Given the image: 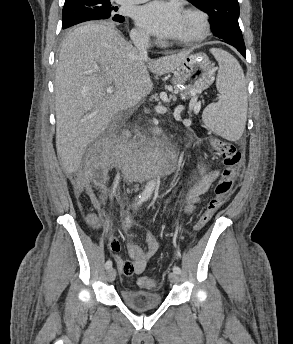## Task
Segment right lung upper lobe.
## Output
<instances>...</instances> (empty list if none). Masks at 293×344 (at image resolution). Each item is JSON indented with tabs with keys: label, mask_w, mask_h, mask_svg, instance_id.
<instances>
[{
	"label": "right lung upper lobe",
	"mask_w": 293,
	"mask_h": 344,
	"mask_svg": "<svg viewBox=\"0 0 293 344\" xmlns=\"http://www.w3.org/2000/svg\"><path fill=\"white\" fill-rule=\"evenodd\" d=\"M75 1H78V0H65V3H71V2H75Z\"/></svg>",
	"instance_id": "cb5924a9"
}]
</instances>
